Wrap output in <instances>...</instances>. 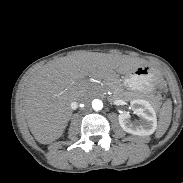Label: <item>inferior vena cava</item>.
<instances>
[{"label":"inferior vena cava","mask_w":183,"mask_h":183,"mask_svg":"<svg viewBox=\"0 0 183 183\" xmlns=\"http://www.w3.org/2000/svg\"><path fill=\"white\" fill-rule=\"evenodd\" d=\"M79 101H80L81 103H86V102L88 101V97H87V96L81 97V98L79 99Z\"/></svg>","instance_id":"obj_1"}]
</instances>
